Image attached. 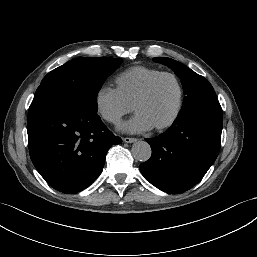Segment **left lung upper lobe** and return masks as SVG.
Wrapping results in <instances>:
<instances>
[{"mask_svg": "<svg viewBox=\"0 0 257 257\" xmlns=\"http://www.w3.org/2000/svg\"><path fill=\"white\" fill-rule=\"evenodd\" d=\"M153 61L168 66L181 79L186 96L178 116H182L204 104L218 100L209 81L182 63L166 57H156Z\"/></svg>", "mask_w": 257, "mask_h": 257, "instance_id": "left-lung-upper-lobe-1", "label": "left lung upper lobe"}]
</instances>
